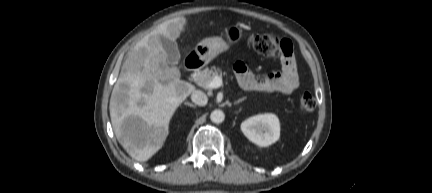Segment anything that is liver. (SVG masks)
Returning <instances> with one entry per match:
<instances>
[{
    "label": "liver",
    "mask_w": 432,
    "mask_h": 193,
    "mask_svg": "<svg viewBox=\"0 0 432 193\" xmlns=\"http://www.w3.org/2000/svg\"><path fill=\"white\" fill-rule=\"evenodd\" d=\"M187 19L176 17L159 24L129 53L113 88L109 110L115 136L139 162L158 152L169 134V123L179 105L194 91L180 80V71L167 65L160 36L175 41ZM134 125L125 128V121Z\"/></svg>",
    "instance_id": "obj_1"
}]
</instances>
